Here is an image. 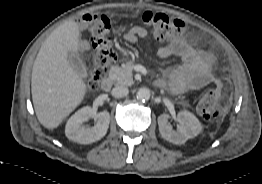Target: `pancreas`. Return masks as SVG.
I'll use <instances>...</instances> for the list:
<instances>
[{
	"instance_id": "obj_1",
	"label": "pancreas",
	"mask_w": 262,
	"mask_h": 184,
	"mask_svg": "<svg viewBox=\"0 0 262 184\" xmlns=\"http://www.w3.org/2000/svg\"><path fill=\"white\" fill-rule=\"evenodd\" d=\"M133 67V61H128L125 64H122L121 67L113 66L110 69V78L114 80L116 84L130 86L133 84Z\"/></svg>"
}]
</instances>
